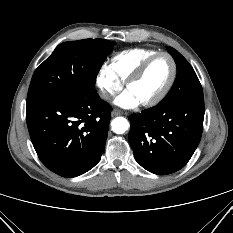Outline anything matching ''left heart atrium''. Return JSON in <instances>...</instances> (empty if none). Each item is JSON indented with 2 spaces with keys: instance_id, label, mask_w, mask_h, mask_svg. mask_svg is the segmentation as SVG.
Returning <instances> with one entry per match:
<instances>
[{
  "instance_id": "obj_1",
  "label": "left heart atrium",
  "mask_w": 233,
  "mask_h": 233,
  "mask_svg": "<svg viewBox=\"0 0 233 233\" xmlns=\"http://www.w3.org/2000/svg\"><path fill=\"white\" fill-rule=\"evenodd\" d=\"M114 103L117 106L125 109L135 108L140 104L137 97L128 89H126L119 96H117Z\"/></svg>"
}]
</instances>
